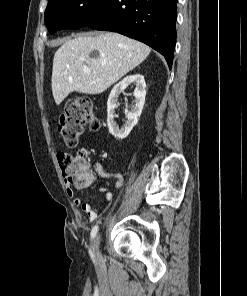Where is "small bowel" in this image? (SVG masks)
I'll return each mask as SVG.
<instances>
[{
	"label": "small bowel",
	"instance_id": "obj_1",
	"mask_svg": "<svg viewBox=\"0 0 247 296\" xmlns=\"http://www.w3.org/2000/svg\"><path fill=\"white\" fill-rule=\"evenodd\" d=\"M97 171L101 177L105 179H114L116 181V186L118 188L121 187L123 177L120 173L107 172L100 165L97 166ZM66 192L75 205H81L83 212L88 216L90 221H94L98 217L99 211L105 210L112 199V193L105 187H100L98 190L102 199L97 207H93L89 202H82V199L76 195L75 191L69 186L67 187Z\"/></svg>",
	"mask_w": 247,
	"mask_h": 296
}]
</instances>
